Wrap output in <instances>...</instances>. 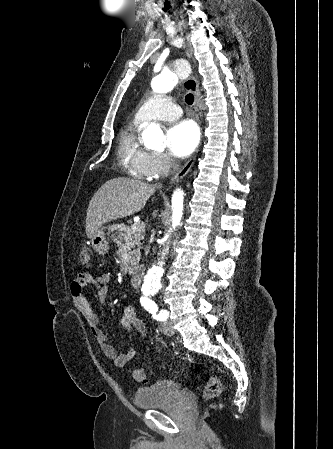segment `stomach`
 Here are the masks:
<instances>
[{"label":"stomach","mask_w":333,"mask_h":449,"mask_svg":"<svg viewBox=\"0 0 333 449\" xmlns=\"http://www.w3.org/2000/svg\"><path fill=\"white\" fill-rule=\"evenodd\" d=\"M93 249L100 255H104L108 249V241L105 238V231L100 228L91 238Z\"/></svg>","instance_id":"0dacf381"}]
</instances>
